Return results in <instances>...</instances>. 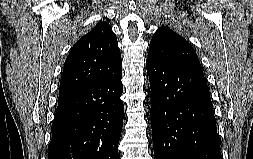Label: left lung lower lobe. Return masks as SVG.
Wrapping results in <instances>:
<instances>
[{
	"instance_id": "left-lung-lower-lobe-1",
	"label": "left lung lower lobe",
	"mask_w": 253,
	"mask_h": 159,
	"mask_svg": "<svg viewBox=\"0 0 253 159\" xmlns=\"http://www.w3.org/2000/svg\"><path fill=\"white\" fill-rule=\"evenodd\" d=\"M155 159H222L201 67L147 59Z\"/></svg>"
}]
</instances>
